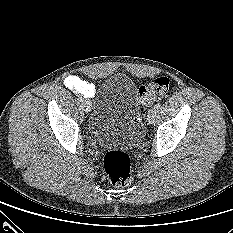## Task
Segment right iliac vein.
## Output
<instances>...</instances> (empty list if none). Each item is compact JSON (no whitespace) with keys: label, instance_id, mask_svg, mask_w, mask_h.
Returning <instances> with one entry per match:
<instances>
[{"label":"right iliac vein","instance_id":"right-iliac-vein-1","mask_svg":"<svg viewBox=\"0 0 233 233\" xmlns=\"http://www.w3.org/2000/svg\"><path fill=\"white\" fill-rule=\"evenodd\" d=\"M82 107L84 108V110H85L86 112H90V111H91V104L89 103L88 100H84V101L82 102Z\"/></svg>","mask_w":233,"mask_h":233}]
</instances>
